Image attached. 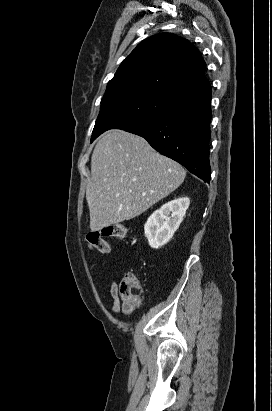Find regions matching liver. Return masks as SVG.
<instances>
[{"mask_svg":"<svg viewBox=\"0 0 272 411\" xmlns=\"http://www.w3.org/2000/svg\"><path fill=\"white\" fill-rule=\"evenodd\" d=\"M186 171L156 152L148 142L124 130H109L91 157L86 200L90 229L133 219L168 196L184 181Z\"/></svg>","mask_w":272,"mask_h":411,"instance_id":"6515ba94","label":"liver"}]
</instances>
